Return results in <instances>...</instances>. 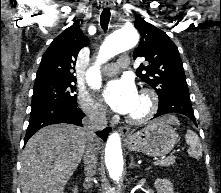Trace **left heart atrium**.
I'll use <instances>...</instances> for the list:
<instances>
[{
    "label": "left heart atrium",
    "instance_id": "left-heart-atrium-1",
    "mask_svg": "<svg viewBox=\"0 0 221 193\" xmlns=\"http://www.w3.org/2000/svg\"><path fill=\"white\" fill-rule=\"evenodd\" d=\"M104 102L115 112L130 114L134 109L139 94L134 82L129 78L110 81L103 91Z\"/></svg>",
    "mask_w": 221,
    "mask_h": 193
}]
</instances>
